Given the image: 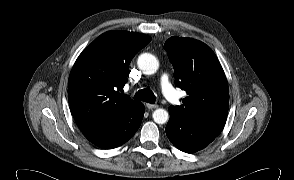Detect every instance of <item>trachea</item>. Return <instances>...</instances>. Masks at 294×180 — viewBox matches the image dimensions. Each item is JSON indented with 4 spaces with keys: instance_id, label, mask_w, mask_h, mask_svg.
<instances>
[{
    "instance_id": "trachea-1",
    "label": "trachea",
    "mask_w": 294,
    "mask_h": 180,
    "mask_svg": "<svg viewBox=\"0 0 294 180\" xmlns=\"http://www.w3.org/2000/svg\"><path fill=\"white\" fill-rule=\"evenodd\" d=\"M134 98L136 100L144 101V102L151 103V104H154L156 101V97H155L154 93L148 88L139 90L135 94Z\"/></svg>"
}]
</instances>
